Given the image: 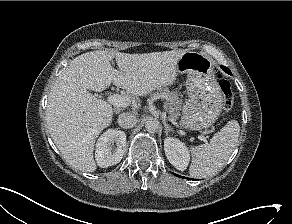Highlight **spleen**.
Masks as SVG:
<instances>
[{
    "label": "spleen",
    "mask_w": 292,
    "mask_h": 224,
    "mask_svg": "<svg viewBox=\"0 0 292 224\" xmlns=\"http://www.w3.org/2000/svg\"><path fill=\"white\" fill-rule=\"evenodd\" d=\"M239 132L238 121L231 120L213 136L210 143L192 147L190 175L204 178L216 174L236 147Z\"/></svg>",
    "instance_id": "obj_1"
}]
</instances>
